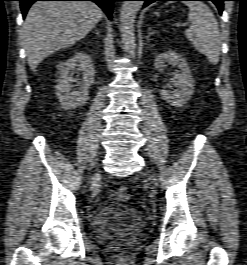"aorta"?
<instances>
[{
  "label": "aorta",
  "instance_id": "aorta-1",
  "mask_svg": "<svg viewBox=\"0 0 247 265\" xmlns=\"http://www.w3.org/2000/svg\"><path fill=\"white\" fill-rule=\"evenodd\" d=\"M142 6L141 1H124L120 11V32L126 52L135 57L134 22L138 11Z\"/></svg>",
  "mask_w": 247,
  "mask_h": 265
}]
</instances>
